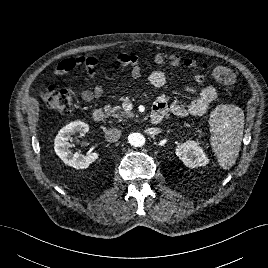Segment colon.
I'll return each instance as SVG.
<instances>
[{
  "label": "colon",
  "instance_id": "1",
  "mask_svg": "<svg viewBox=\"0 0 268 268\" xmlns=\"http://www.w3.org/2000/svg\"><path fill=\"white\" fill-rule=\"evenodd\" d=\"M160 63H166L171 66L183 64L188 68H200L207 70L211 75L222 85L230 86L235 82L234 72L223 65H211L206 62H198L194 59L187 58L182 60L177 55L166 57L160 55L158 57ZM74 93L69 89H61L56 93H48L45 96V102L49 109L59 111L61 113H68L73 106Z\"/></svg>",
  "mask_w": 268,
  "mask_h": 268
}]
</instances>
